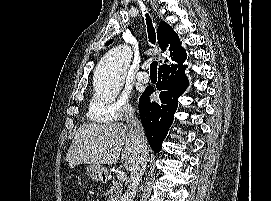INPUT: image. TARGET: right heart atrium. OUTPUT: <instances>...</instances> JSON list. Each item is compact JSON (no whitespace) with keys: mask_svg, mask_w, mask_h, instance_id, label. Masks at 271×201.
<instances>
[{"mask_svg":"<svg viewBox=\"0 0 271 201\" xmlns=\"http://www.w3.org/2000/svg\"><path fill=\"white\" fill-rule=\"evenodd\" d=\"M133 108L126 96H116L105 100L96 95L90 104L88 117L96 121L122 124L133 118Z\"/></svg>","mask_w":271,"mask_h":201,"instance_id":"right-heart-atrium-1","label":"right heart atrium"}]
</instances>
